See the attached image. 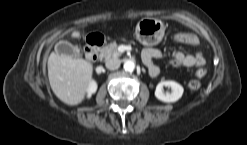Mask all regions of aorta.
<instances>
[{"label":"aorta","instance_id":"762f6f07","mask_svg":"<svg viewBox=\"0 0 247 145\" xmlns=\"http://www.w3.org/2000/svg\"><path fill=\"white\" fill-rule=\"evenodd\" d=\"M124 70L127 72H132L135 69V63L131 60H127L124 63Z\"/></svg>","mask_w":247,"mask_h":145}]
</instances>
